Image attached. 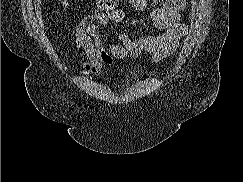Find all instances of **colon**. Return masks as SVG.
<instances>
[{"label": "colon", "instance_id": "colon-1", "mask_svg": "<svg viewBox=\"0 0 243 182\" xmlns=\"http://www.w3.org/2000/svg\"><path fill=\"white\" fill-rule=\"evenodd\" d=\"M62 3H66L67 0H60ZM117 5L116 0H96L97 8L102 12H109L115 10Z\"/></svg>", "mask_w": 243, "mask_h": 182}]
</instances>
